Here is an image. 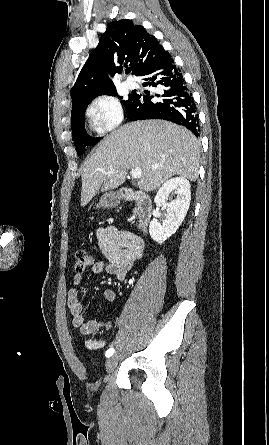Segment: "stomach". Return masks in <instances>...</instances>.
<instances>
[{
    "mask_svg": "<svg viewBox=\"0 0 269 445\" xmlns=\"http://www.w3.org/2000/svg\"><path fill=\"white\" fill-rule=\"evenodd\" d=\"M120 198H121L120 194L117 192L106 193L100 198V201L96 205V207L97 208H100V207L113 208L119 204Z\"/></svg>",
    "mask_w": 269,
    "mask_h": 445,
    "instance_id": "1",
    "label": "stomach"
}]
</instances>
